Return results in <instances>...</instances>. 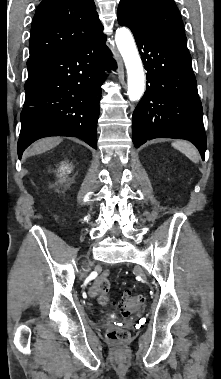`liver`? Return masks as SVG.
Returning <instances> with one entry per match:
<instances>
[{
  "instance_id": "6515ba94",
  "label": "liver",
  "mask_w": 221,
  "mask_h": 379,
  "mask_svg": "<svg viewBox=\"0 0 221 379\" xmlns=\"http://www.w3.org/2000/svg\"><path fill=\"white\" fill-rule=\"evenodd\" d=\"M62 141L59 137H48L43 138L35 142L32 147L27 151L26 156H32L36 154H41L46 152L55 146H57Z\"/></svg>"
}]
</instances>
